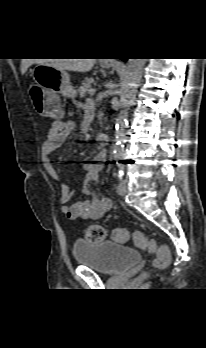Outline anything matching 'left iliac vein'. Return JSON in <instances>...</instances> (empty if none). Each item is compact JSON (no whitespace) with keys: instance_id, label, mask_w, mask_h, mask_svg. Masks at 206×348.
Returning a JSON list of instances; mask_svg holds the SVG:
<instances>
[{"instance_id":"1","label":"left iliac vein","mask_w":206,"mask_h":348,"mask_svg":"<svg viewBox=\"0 0 206 348\" xmlns=\"http://www.w3.org/2000/svg\"><path fill=\"white\" fill-rule=\"evenodd\" d=\"M127 192V182L122 180L117 186V193L121 196L125 195Z\"/></svg>"}]
</instances>
